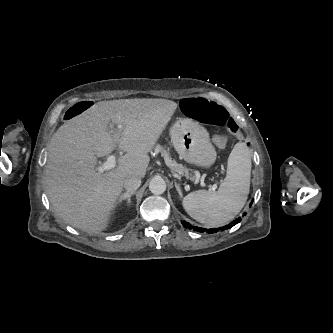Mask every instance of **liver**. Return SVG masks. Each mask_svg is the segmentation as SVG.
<instances>
[{
	"label": "liver",
	"mask_w": 333,
	"mask_h": 333,
	"mask_svg": "<svg viewBox=\"0 0 333 333\" xmlns=\"http://www.w3.org/2000/svg\"><path fill=\"white\" fill-rule=\"evenodd\" d=\"M177 104L166 99H120L95 103L54 133L45 166L47 195L69 225L88 233L105 230L124 180L144 178L153 149ZM112 121L121 128L111 132ZM116 147L126 152L115 169H95L97 158Z\"/></svg>",
	"instance_id": "obj_1"
}]
</instances>
